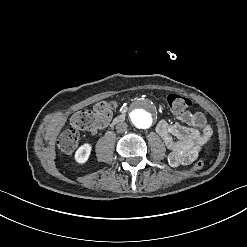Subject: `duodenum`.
Returning a JSON list of instances; mask_svg holds the SVG:
<instances>
[{
  "label": "duodenum",
  "instance_id": "obj_1",
  "mask_svg": "<svg viewBox=\"0 0 247 247\" xmlns=\"http://www.w3.org/2000/svg\"><path fill=\"white\" fill-rule=\"evenodd\" d=\"M126 113H127L126 109L121 110L119 114L114 118L113 124H117L121 122L125 118Z\"/></svg>",
  "mask_w": 247,
  "mask_h": 247
}]
</instances>
